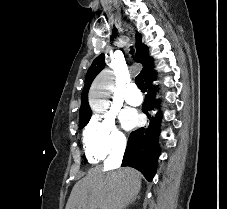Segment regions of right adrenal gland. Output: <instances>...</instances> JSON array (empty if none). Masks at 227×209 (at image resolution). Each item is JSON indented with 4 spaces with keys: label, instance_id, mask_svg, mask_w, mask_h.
<instances>
[{
    "label": "right adrenal gland",
    "instance_id": "2a0ac1e0",
    "mask_svg": "<svg viewBox=\"0 0 227 209\" xmlns=\"http://www.w3.org/2000/svg\"><path fill=\"white\" fill-rule=\"evenodd\" d=\"M135 199H138V197H135ZM135 199H132L131 203H134Z\"/></svg>",
    "mask_w": 227,
    "mask_h": 209
}]
</instances>
